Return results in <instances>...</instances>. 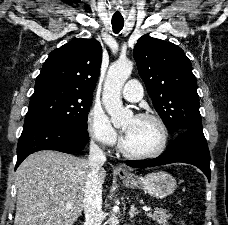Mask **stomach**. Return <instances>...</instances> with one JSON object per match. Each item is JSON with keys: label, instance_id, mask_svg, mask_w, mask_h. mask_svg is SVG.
I'll use <instances>...</instances> for the list:
<instances>
[{"label": "stomach", "instance_id": "0dacf381", "mask_svg": "<svg viewBox=\"0 0 228 225\" xmlns=\"http://www.w3.org/2000/svg\"><path fill=\"white\" fill-rule=\"evenodd\" d=\"M122 183L130 189H143L145 193L156 197V199H165L168 195L174 193L177 183L169 173L158 171V173H149L146 177H120Z\"/></svg>", "mask_w": 228, "mask_h": 225}]
</instances>
